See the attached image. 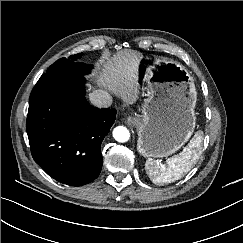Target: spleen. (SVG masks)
<instances>
[{
	"label": "spleen",
	"instance_id": "obj_1",
	"mask_svg": "<svg viewBox=\"0 0 243 243\" xmlns=\"http://www.w3.org/2000/svg\"><path fill=\"white\" fill-rule=\"evenodd\" d=\"M203 132L198 131L189 144L180 152L167 160L166 164L149 158L145 163V169L149 178L155 184H165L179 180L198 161L201 152Z\"/></svg>",
	"mask_w": 243,
	"mask_h": 243
}]
</instances>
